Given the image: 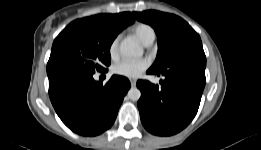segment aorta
Instances as JSON below:
<instances>
[{"instance_id": "aorta-1", "label": "aorta", "mask_w": 261, "mask_h": 150, "mask_svg": "<svg viewBox=\"0 0 261 150\" xmlns=\"http://www.w3.org/2000/svg\"><path fill=\"white\" fill-rule=\"evenodd\" d=\"M120 53L127 58L141 57L143 55V48L136 40L126 38L121 42ZM127 95L130 100L138 101L141 97V92L137 87H132Z\"/></svg>"}]
</instances>
